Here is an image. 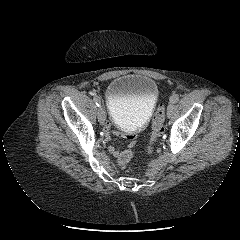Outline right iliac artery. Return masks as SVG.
Instances as JSON below:
<instances>
[{"mask_svg": "<svg viewBox=\"0 0 240 240\" xmlns=\"http://www.w3.org/2000/svg\"><path fill=\"white\" fill-rule=\"evenodd\" d=\"M94 101H95L96 105L99 107V106H100V104H101L100 97H99V96H97V95H95V96H94Z\"/></svg>", "mask_w": 240, "mask_h": 240, "instance_id": "1", "label": "right iliac artery"}]
</instances>
